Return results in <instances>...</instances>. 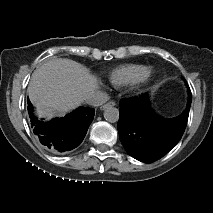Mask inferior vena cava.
Segmentation results:
<instances>
[{
	"mask_svg": "<svg viewBox=\"0 0 213 213\" xmlns=\"http://www.w3.org/2000/svg\"><path fill=\"white\" fill-rule=\"evenodd\" d=\"M109 99V96L106 92L100 90L95 91L90 96L85 99V102L91 106L97 107L106 103Z\"/></svg>",
	"mask_w": 213,
	"mask_h": 213,
	"instance_id": "602c4592",
	"label": "inferior vena cava"
}]
</instances>
